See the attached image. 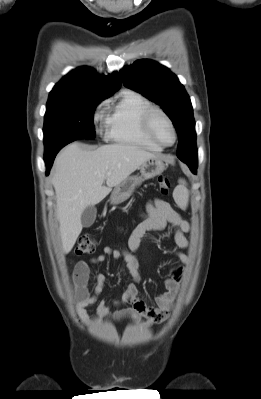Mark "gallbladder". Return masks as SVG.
Segmentation results:
<instances>
[{
    "mask_svg": "<svg viewBox=\"0 0 261 399\" xmlns=\"http://www.w3.org/2000/svg\"><path fill=\"white\" fill-rule=\"evenodd\" d=\"M97 210L94 206H88L84 209L81 215V223L85 228L92 226L96 219Z\"/></svg>",
    "mask_w": 261,
    "mask_h": 399,
    "instance_id": "gallbladder-1",
    "label": "gallbladder"
}]
</instances>
